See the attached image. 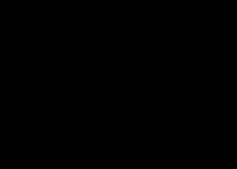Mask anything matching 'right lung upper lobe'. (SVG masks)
<instances>
[{"mask_svg":"<svg viewBox=\"0 0 237 169\" xmlns=\"http://www.w3.org/2000/svg\"><path fill=\"white\" fill-rule=\"evenodd\" d=\"M119 34H79L67 41L50 60L43 80L46 106L56 126L80 108L95 91L93 75L124 42Z\"/></svg>","mask_w":237,"mask_h":169,"instance_id":"cb5924a9","label":"right lung upper lobe"}]
</instances>
